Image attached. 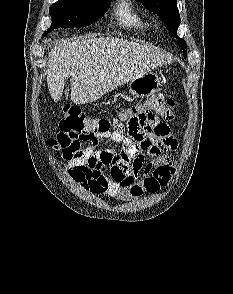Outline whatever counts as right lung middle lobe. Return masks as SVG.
<instances>
[{
  "label": "right lung middle lobe",
  "mask_w": 233,
  "mask_h": 294,
  "mask_svg": "<svg viewBox=\"0 0 233 294\" xmlns=\"http://www.w3.org/2000/svg\"><path fill=\"white\" fill-rule=\"evenodd\" d=\"M110 4L111 0H59L49 8L52 24L42 37L56 28L88 26L104 15Z\"/></svg>",
  "instance_id": "dd1d6c3e"
}]
</instances>
